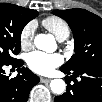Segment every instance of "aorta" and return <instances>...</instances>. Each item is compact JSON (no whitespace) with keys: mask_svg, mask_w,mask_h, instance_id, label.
<instances>
[{"mask_svg":"<svg viewBox=\"0 0 102 102\" xmlns=\"http://www.w3.org/2000/svg\"><path fill=\"white\" fill-rule=\"evenodd\" d=\"M35 46L46 52H54L57 44L53 35L51 34H38L34 39ZM50 88L53 93L61 95L64 93L66 85L62 79H54L50 82Z\"/></svg>","mask_w":102,"mask_h":102,"instance_id":"obj_1","label":"aorta"}]
</instances>
